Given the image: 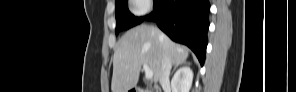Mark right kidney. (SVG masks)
Segmentation results:
<instances>
[{
    "instance_id": "ca27d5eb",
    "label": "right kidney",
    "mask_w": 296,
    "mask_h": 92,
    "mask_svg": "<svg viewBox=\"0 0 296 92\" xmlns=\"http://www.w3.org/2000/svg\"><path fill=\"white\" fill-rule=\"evenodd\" d=\"M193 81V71L189 66L180 68L171 80L172 92H189Z\"/></svg>"
}]
</instances>
